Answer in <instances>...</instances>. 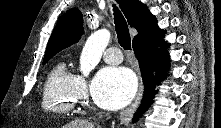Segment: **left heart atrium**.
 <instances>
[{"instance_id": "obj_1", "label": "left heart atrium", "mask_w": 221, "mask_h": 128, "mask_svg": "<svg viewBox=\"0 0 221 128\" xmlns=\"http://www.w3.org/2000/svg\"><path fill=\"white\" fill-rule=\"evenodd\" d=\"M136 89V78L130 70L107 67L96 75L91 94L98 105L114 110L128 104Z\"/></svg>"}]
</instances>
